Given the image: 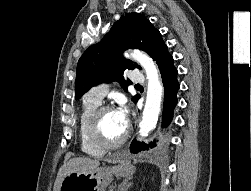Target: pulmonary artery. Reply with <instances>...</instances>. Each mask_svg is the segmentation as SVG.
I'll list each match as a JSON object with an SVG mask.
<instances>
[{
  "label": "pulmonary artery",
  "instance_id": "1",
  "mask_svg": "<svg viewBox=\"0 0 251 191\" xmlns=\"http://www.w3.org/2000/svg\"><path fill=\"white\" fill-rule=\"evenodd\" d=\"M132 73H130V78H132V82H144V74L143 73H139V68H132ZM108 86L106 84H101L99 85L94 92L92 93V95H87L85 96V98H95L97 100H101L105 94L108 92Z\"/></svg>",
  "mask_w": 251,
  "mask_h": 191
}]
</instances>
